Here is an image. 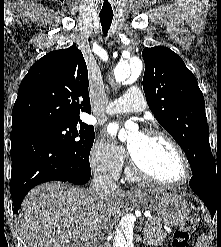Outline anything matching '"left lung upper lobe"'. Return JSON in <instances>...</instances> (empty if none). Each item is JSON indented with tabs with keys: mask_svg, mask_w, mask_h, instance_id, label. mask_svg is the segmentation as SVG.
<instances>
[{
	"mask_svg": "<svg viewBox=\"0 0 221 247\" xmlns=\"http://www.w3.org/2000/svg\"><path fill=\"white\" fill-rule=\"evenodd\" d=\"M143 89L157 121L187 155L192 172L213 160L205 102L198 82L183 60L163 46L145 48Z\"/></svg>",
	"mask_w": 221,
	"mask_h": 247,
	"instance_id": "5c2ea615",
	"label": "left lung upper lobe"
}]
</instances>
